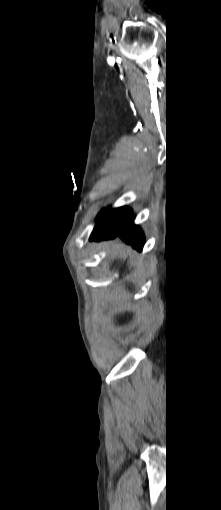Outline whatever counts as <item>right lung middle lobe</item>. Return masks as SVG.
Segmentation results:
<instances>
[{
  "label": "right lung middle lobe",
  "instance_id": "1",
  "mask_svg": "<svg viewBox=\"0 0 221 510\" xmlns=\"http://www.w3.org/2000/svg\"><path fill=\"white\" fill-rule=\"evenodd\" d=\"M126 207H123V208H118V209H113V210H110V211H107V212H103L102 214H108L110 216H113L115 218H119L121 217L125 211H126Z\"/></svg>",
  "mask_w": 221,
  "mask_h": 510
}]
</instances>
